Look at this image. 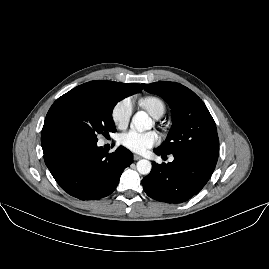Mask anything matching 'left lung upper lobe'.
Here are the masks:
<instances>
[{
  "label": "left lung upper lobe",
  "mask_w": 269,
  "mask_h": 269,
  "mask_svg": "<svg viewBox=\"0 0 269 269\" xmlns=\"http://www.w3.org/2000/svg\"><path fill=\"white\" fill-rule=\"evenodd\" d=\"M142 87L165 99L171 107L173 124L166 140L158 148L168 154L217 163V129L203 101L176 82L142 84Z\"/></svg>",
  "instance_id": "left-lung-upper-lobe-1"
}]
</instances>
